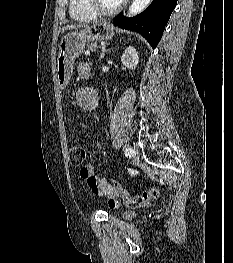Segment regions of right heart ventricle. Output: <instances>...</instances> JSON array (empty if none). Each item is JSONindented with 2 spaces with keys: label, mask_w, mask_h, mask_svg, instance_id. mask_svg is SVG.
Here are the masks:
<instances>
[{
  "label": "right heart ventricle",
  "mask_w": 233,
  "mask_h": 263,
  "mask_svg": "<svg viewBox=\"0 0 233 263\" xmlns=\"http://www.w3.org/2000/svg\"><path fill=\"white\" fill-rule=\"evenodd\" d=\"M70 14L77 21H90L96 17L88 8L86 0H70Z\"/></svg>",
  "instance_id": "right-heart-ventricle-1"
}]
</instances>
